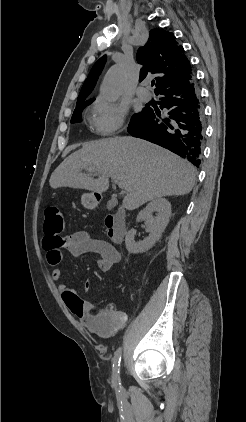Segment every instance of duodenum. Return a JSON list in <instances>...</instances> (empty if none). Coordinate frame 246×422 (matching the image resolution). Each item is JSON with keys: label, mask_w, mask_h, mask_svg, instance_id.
<instances>
[{"label": "duodenum", "mask_w": 246, "mask_h": 422, "mask_svg": "<svg viewBox=\"0 0 246 422\" xmlns=\"http://www.w3.org/2000/svg\"><path fill=\"white\" fill-rule=\"evenodd\" d=\"M105 224L109 236L115 242H121L126 231V213L119 208L116 212L107 215Z\"/></svg>", "instance_id": "obj_1"}]
</instances>
